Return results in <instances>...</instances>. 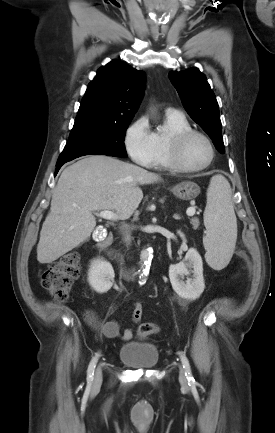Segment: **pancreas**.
<instances>
[{"label":"pancreas","mask_w":275,"mask_h":433,"mask_svg":"<svg viewBox=\"0 0 275 433\" xmlns=\"http://www.w3.org/2000/svg\"><path fill=\"white\" fill-rule=\"evenodd\" d=\"M190 223L193 225L194 229H197L199 226V220L198 219H191Z\"/></svg>","instance_id":"pancreas-1"}]
</instances>
